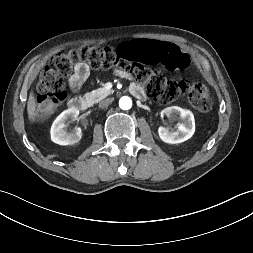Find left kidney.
Returning a JSON list of instances; mask_svg holds the SVG:
<instances>
[{
	"instance_id": "left-kidney-1",
	"label": "left kidney",
	"mask_w": 253,
	"mask_h": 253,
	"mask_svg": "<svg viewBox=\"0 0 253 253\" xmlns=\"http://www.w3.org/2000/svg\"><path fill=\"white\" fill-rule=\"evenodd\" d=\"M162 113L181 120L176 131H171L162 126L159 127V137L163 142L168 144H178L193 136L195 132V120L191 111L177 106H172L162 110Z\"/></svg>"
}]
</instances>
